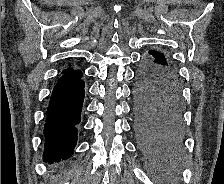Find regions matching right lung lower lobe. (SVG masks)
I'll return each instance as SVG.
<instances>
[{"mask_svg":"<svg viewBox=\"0 0 224 184\" xmlns=\"http://www.w3.org/2000/svg\"><path fill=\"white\" fill-rule=\"evenodd\" d=\"M82 76L80 70L65 69L54 86L44 126L45 162H59L73 154L85 95Z\"/></svg>","mask_w":224,"mask_h":184,"instance_id":"right-lung-lower-lobe-1","label":"right lung lower lobe"}]
</instances>
